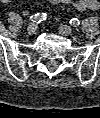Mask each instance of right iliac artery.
<instances>
[{"label": "right iliac artery", "instance_id": "1", "mask_svg": "<svg viewBox=\"0 0 100 118\" xmlns=\"http://www.w3.org/2000/svg\"><path fill=\"white\" fill-rule=\"evenodd\" d=\"M47 14L46 13H37L35 15L30 16V20L34 23H40L41 21L46 20Z\"/></svg>", "mask_w": 100, "mask_h": 118}]
</instances>
